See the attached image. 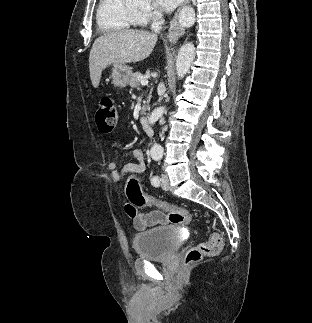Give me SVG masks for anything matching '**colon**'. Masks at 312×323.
<instances>
[{
    "label": "colon",
    "instance_id": "obj_1",
    "mask_svg": "<svg viewBox=\"0 0 312 323\" xmlns=\"http://www.w3.org/2000/svg\"><path fill=\"white\" fill-rule=\"evenodd\" d=\"M119 113L114 101L110 96H103L98 103L95 122L97 128L103 133H111L115 130L118 123ZM126 194L129 203L124 208L130 218H135L137 212L135 206L151 204L154 207L164 209L168 212L169 221L173 224L190 223L193 221V215L184 207L171 205L158 198L145 196L141 190L139 177H126ZM224 247L223 239L218 235H211L205 242L191 249L185 254L186 264L197 263L203 255H213Z\"/></svg>",
    "mask_w": 312,
    "mask_h": 323
}]
</instances>
